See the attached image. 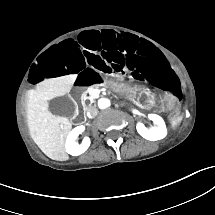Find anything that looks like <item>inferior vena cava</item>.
<instances>
[{"label":"inferior vena cava","instance_id":"inferior-vena-cava-1","mask_svg":"<svg viewBox=\"0 0 215 215\" xmlns=\"http://www.w3.org/2000/svg\"><path fill=\"white\" fill-rule=\"evenodd\" d=\"M97 112H98L97 108L93 105L88 106L86 108V115L88 118H93V117L97 116Z\"/></svg>","mask_w":215,"mask_h":215}]
</instances>
